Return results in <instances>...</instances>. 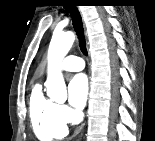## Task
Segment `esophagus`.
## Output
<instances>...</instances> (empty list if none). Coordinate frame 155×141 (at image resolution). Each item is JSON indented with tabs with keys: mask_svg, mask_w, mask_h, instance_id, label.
<instances>
[{
	"mask_svg": "<svg viewBox=\"0 0 155 141\" xmlns=\"http://www.w3.org/2000/svg\"><path fill=\"white\" fill-rule=\"evenodd\" d=\"M81 129H82V126H81L80 129L76 132V134L79 133Z\"/></svg>",
	"mask_w": 155,
	"mask_h": 141,
	"instance_id": "1",
	"label": "esophagus"
}]
</instances>
